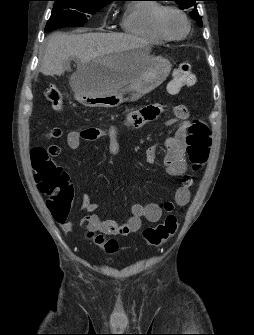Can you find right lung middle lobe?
<instances>
[{
    "instance_id": "1",
    "label": "right lung middle lobe",
    "mask_w": 254,
    "mask_h": 335,
    "mask_svg": "<svg viewBox=\"0 0 254 335\" xmlns=\"http://www.w3.org/2000/svg\"><path fill=\"white\" fill-rule=\"evenodd\" d=\"M52 14L46 24L45 32L75 26L81 27L87 22L89 14L103 8L110 2L99 0H53Z\"/></svg>"
}]
</instances>
